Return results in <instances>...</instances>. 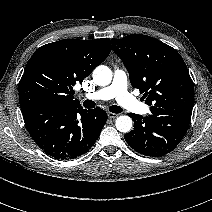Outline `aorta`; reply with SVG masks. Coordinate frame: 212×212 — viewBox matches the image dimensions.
I'll return each mask as SVG.
<instances>
[{
	"label": "aorta",
	"instance_id": "obj_1",
	"mask_svg": "<svg viewBox=\"0 0 212 212\" xmlns=\"http://www.w3.org/2000/svg\"><path fill=\"white\" fill-rule=\"evenodd\" d=\"M93 81L96 85L107 86L112 81V72L105 65L97 66L92 74ZM132 119L127 115H121L116 119L115 126L118 131L127 133L132 128Z\"/></svg>",
	"mask_w": 212,
	"mask_h": 212
}]
</instances>
